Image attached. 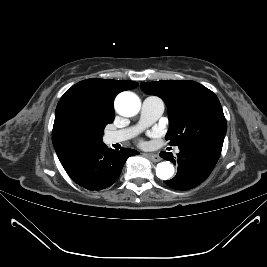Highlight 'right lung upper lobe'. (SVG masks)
Segmentation results:
<instances>
[{
    "mask_svg": "<svg viewBox=\"0 0 267 267\" xmlns=\"http://www.w3.org/2000/svg\"><path fill=\"white\" fill-rule=\"evenodd\" d=\"M138 83L127 80L87 79L72 86L60 99L52 131V141L61 160L83 147L75 144L64 133L63 119L71 108L86 105L95 113L115 117L113 102L118 93L133 89Z\"/></svg>",
    "mask_w": 267,
    "mask_h": 267,
    "instance_id": "obj_1",
    "label": "right lung upper lobe"
}]
</instances>
